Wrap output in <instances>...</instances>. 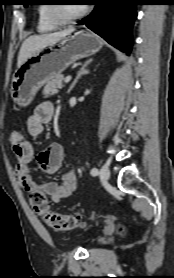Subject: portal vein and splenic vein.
Listing matches in <instances>:
<instances>
[{"label": "portal vein and splenic vein", "mask_w": 174, "mask_h": 278, "mask_svg": "<svg viewBox=\"0 0 174 278\" xmlns=\"http://www.w3.org/2000/svg\"><path fill=\"white\" fill-rule=\"evenodd\" d=\"M70 80H71V76L66 77V78H65V83L70 82Z\"/></svg>", "instance_id": "18ae733b"}]
</instances>
